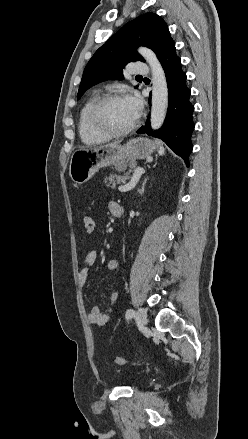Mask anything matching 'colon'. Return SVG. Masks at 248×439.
<instances>
[{
    "label": "colon",
    "mask_w": 248,
    "mask_h": 439,
    "mask_svg": "<svg viewBox=\"0 0 248 439\" xmlns=\"http://www.w3.org/2000/svg\"><path fill=\"white\" fill-rule=\"evenodd\" d=\"M83 226L87 233H91L94 230V220L91 215L87 214L83 218ZM114 362L117 365H124L126 360L123 357L116 356Z\"/></svg>",
    "instance_id": "colon-1"
}]
</instances>
